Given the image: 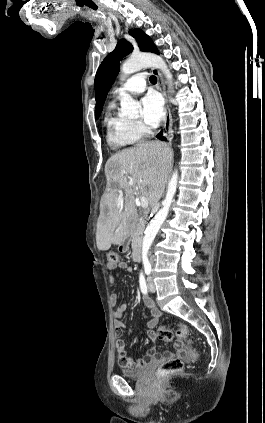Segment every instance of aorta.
Returning a JSON list of instances; mask_svg holds the SVG:
<instances>
[{
  "instance_id": "obj_1",
  "label": "aorta",
  "mask_w": 265,
  "mask_h": 423,
  "mask_svg": "<svg viewBox=\"0 0 265 423\" xmlns=\"http://www.w3.org/2000/svg\"><path fill=\"white\" fill-rule=\"evenodd\" d=\"M146 67H155L160 69L165 75L168 83L169 89L172 91V74L170 73L166 62L158 55L152 53H140L132 55L121 67L123 76L130 75L135 73L142 68ZM121 105V114L122 115H134L138 113L140 104L135 101L130 95L123 94L120 100ZM178 183V171L174 170L172 177L168 184V189L166 197L162 202V208L156 213L154 218L151 220L150 224L145 230L143 242H142V261L143 263H148V253L151 248V245L161 227V225L166 220L170 206L173 201V197L176 193Z\"/></svg>"
}]
</instances>
